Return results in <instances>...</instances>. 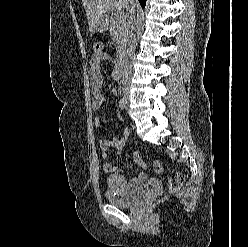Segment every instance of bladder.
<instances>
[{
  "mask_svg": "<svg viewBox=\"0 0 248 247\" xmlns=\"http://www.w3.org/2000/svg\"><path fill=\"white\" fill-rule=\"evenodd\" d=\"M122 178L119 176H110L107 180L109 191L107 193L108 201L119 207H129L142 200L148 194L150 187L140 186L131 193H127L126 187H121Z\"/></svg>",
  "mask_w": 248,
  "mask_h": 247,
  "instance_id": "31cf9c89",
  "label": "bladder"
}]
</instances>
